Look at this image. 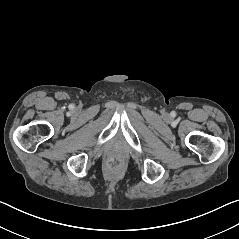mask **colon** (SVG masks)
I'll return each mask as SVG.
<instances>
[{"instance_id":"colon-1","label":"colon","mask_w":239,"mask_h":239,"mask_svg":"<svg viewBox=\"0 0 239 239\" xmlns=\"http://www.w3.org/2000/svg\"><path fill=\"white\" fill-rule=\"evenodd\" d=\"M108 165L111 168H118L122 165V160L117 157L111 158L108 160Z\"/></svg>"}]
</instances>
